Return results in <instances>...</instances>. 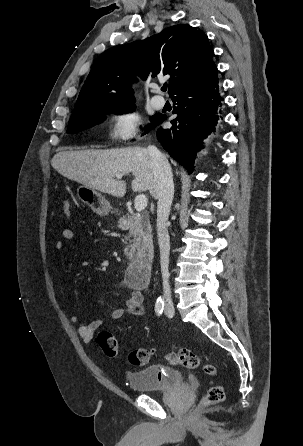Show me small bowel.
I'll list each match as a JSON object with an SVG mask.
<instances>
[{
    "label": "small bowel",
    "mask_w": 303,
    "mask_h": 446,
    "mask_svg": "<svg viewBox=\"0 0 303 446\" xmlns=\"http://www.w3.org/2000/svg\"><path fill=\"white\" fill-rule=\"evenodd\" d=\"M75 237V233L71 228H65L62 230V238L64 241H70ZM55 250L61 251L64 248V242L59 240L54 245ZM126 286L131 290L129 297L126 299L125 305L115 308L111 315L110 320H119L127 315L142 316L145 315V309L143 306V295L140 289H136L128 283ZM72 324L77 327L80 338L89 343L95 332L101 328L105 321L101 319L91 318L87 320H81L77 314H72L69 318Z\"/></svg>",
    "instance_id": "c3829d8e"
}]
</instances>
